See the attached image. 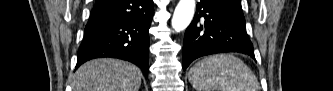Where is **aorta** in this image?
<instances>
[{"label": "aorta", "mask_w": 333, "mask_h": 91, "mask_svg": "<svg viewBox=\"0 0 333 91\" xmlns=\"http://www.w3.org/2000/svg\"><path fill=\"white\" fill-rule=\"evenodd\" d=\"M195 10V0H180L175 8L172 27L176 31H182L191 23Z\"/></svg>", "instance_id": "1"}]
</instances>
